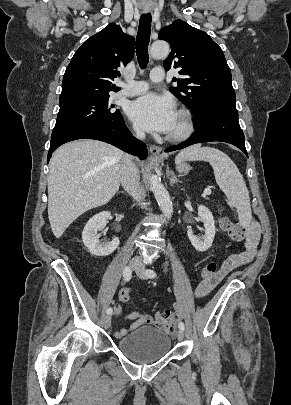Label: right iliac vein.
<instances>
[{"label":"right iliac vein","mask_w":291,"mask_h":405,"mask_svg":"<svg viewBox=\"0 0 291 405\" xmlns=\"http://www.w3.org/2000/svg\"><path fill=\"white\" fill-rule=\"evenodd\" d=\"M138 266H139L138 262H137L136 260H134V259H132V260L129 262V268L132 269V270H136V269L138 268ZM103 324H104V327H105V328H109V327H110V325H111V316H110V314H107V315L104 317V319H103Z\"/></svg>","instance_id":"1"}]
</instances>
